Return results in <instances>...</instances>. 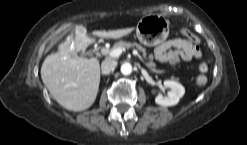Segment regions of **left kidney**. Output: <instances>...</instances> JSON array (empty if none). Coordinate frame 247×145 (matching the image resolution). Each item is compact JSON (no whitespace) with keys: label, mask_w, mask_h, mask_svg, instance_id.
<instances>
[{"label":"left kidney","mask_w":247,"mask_h":145,"mask_svg":"<svg viewBox=\"0 0 247 145\" xmlns=\"http://www.w3.org/2000/svg\"><path fill=\"white\" fill-rule=\"evenodd\" d=\"M164 86L170 88L166 97L158 95L155 98V102L161 106H173L176 105L180 98L185 94V88L180 83L173 80H165Z\"/></svg>","instance_id":"5707ae66"}]
</instances>
